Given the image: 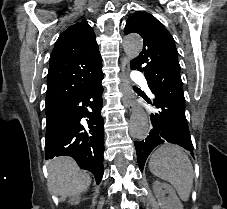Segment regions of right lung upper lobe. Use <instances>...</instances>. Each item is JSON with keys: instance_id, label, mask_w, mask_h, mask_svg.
Masks as SVG:
<instances>
[{"instance_id": "1", "label": "right lung upper lobe", "mask_w": 227, "mask_h": 209, "mask_svg": "<svg viewBox=\"0 0 227 209\" xmlns=\"http://www.w3.org/2000/svg\"><path fill=\"white\" fill-rule=\"evenodd\" d=\"M102 74L96 36L86 21L71 25L55 43L47 78L46 109L82 90Z\"/></svg>"}]
</instances>
